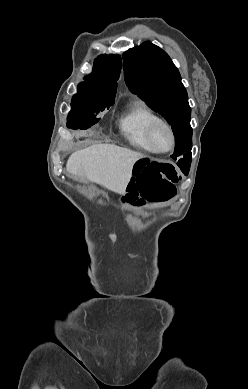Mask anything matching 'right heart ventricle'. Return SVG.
<instances>
[{
	"label": "right heart ventricle",
	"mask_w": 248,
	"mask_h": 389,
	"mask_svg": "<svg viewBox=\"0 0 248 389\" xmlns=\"http://www.w3.org/2000/svg\"><path fill=\"white\" fill-rule=\"evenodd\" d=\"M158 117L142 101H133L118 120V126L123 137L132 146L151 151L146 141L148 125ZM152 152V151H151Z\"/></svg>",
	"instance_id": "1"
}]
</instances>
